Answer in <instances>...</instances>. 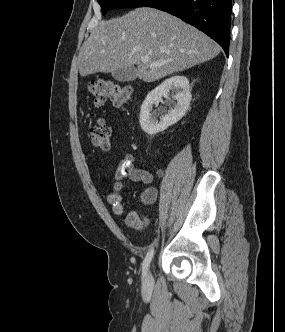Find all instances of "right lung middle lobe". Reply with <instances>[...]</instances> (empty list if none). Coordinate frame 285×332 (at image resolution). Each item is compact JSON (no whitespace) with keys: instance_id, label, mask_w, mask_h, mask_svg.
I'll use <instances>...</instances> for the list:
<instances>
[{"instance_id":"dd1d6c3e","label":"right lung middle lobe","mask_w":285,"mask_h":332,"mask_svg":"<svg viewBox=\"0 0 285 332\" xmlns=\"http://www.w3.org/2000/svg\"><path fill=\"white\" fill-rule=\"evenodd\" d=\"M101 5L102 13L114 8H137L143 6L148 0H97Z\"/></svg>"}]
</instances>
